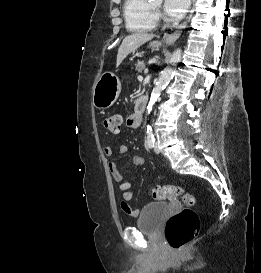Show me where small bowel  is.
Returning <instances> with one entry per match:
<instances>
[{
  "instance_id": "c3829d8e",
  "label": "small bowel",
  "mask_w": 261,
  "mask_h": 273,
  "mask_svg": "<svg viewBox=\"0 0 261 273\" xmlns=\"http://www.w3.org/2000/svg\"><path fill=\"white\" fill-rule=\"evenodd\" d=\"M133 114L129 115L126 119V125L129 128H135L133 127ZM127 152V146L124 144L119 145L117 149L118 154H124ZM104 154L107 157H111L114 154V148L111 145H107L104 147ZM132 164L134 166H142L144 164V158L140 155H135L132 157ZM109 170L112 175V178L115 182L118 183L117 189L119 192L122 193V199H121V208L122 210L131 216H137L139 214L138 209H134L130 206L129 202L132 199L133 191L132 187L134 182L133 181H126L123 182V176L121 172L119 171L118 165L115 161L109 162Z\"/></svg>"
}]
</instances>
